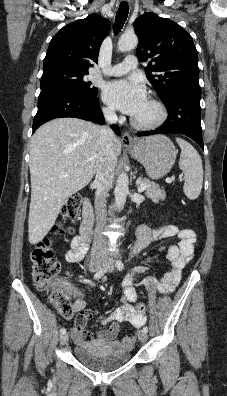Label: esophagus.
Returning <instances> with one entry per match:
<instances>
[{
  "instance_id": "esophagus-1",
  "label": "esophagus",
  "mask_w": 227,
  "mask_h": 396,
  "mask_svg": "<svg viewBox=\"0 0 227 396\" xmlns=\"http://www.w3.org/2000/svg\"><path fill=\"white\" fill-rule=\"evenodd\" d=\"M122 143L126 146L132 145L134 143L132 136L128 132L123 133Z\"/></svg>"
}]
</instances>
